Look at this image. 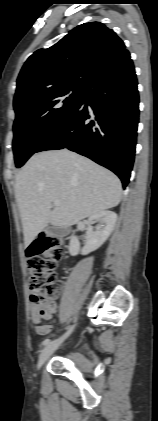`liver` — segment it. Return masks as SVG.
I'll use <instances>...</instances> for the list:
<instances>
[{
  "instance_id": "liver-1",
  "label": "liver",
  "mask_w": 158,
  "mask_h": 421,
  "mask_svg": "<svg viewBox=\"0 0 158 421\" xmlns=\"http://www.w3.org/2000/svg\"><path fill=\"white\" fill-rule=\"evenodd\" d=\"M121 197L119 178L88 158L67 149L34 154L15 183L25 247L48 224L70 227L117 206ZM55 200L60 206L52 208Z\"/></svg>"
}]
</instances>
